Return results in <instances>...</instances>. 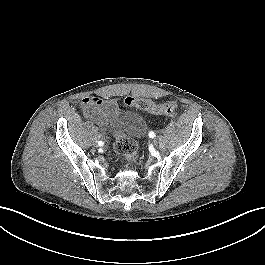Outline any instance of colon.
Returning <instances> with one entry per match:
<instances>
[{"label":"colon","mask_w":265,"mask_h":265,"mask_svg":"<svg viewBox=\"0 0 265 265\" xmlns=\"http://www.w3.org/2000/svg\"><path fill=\"white\" fill-rule=\"evenodd\" d=\"M125 105L138 108L154 114L171 115L178 107L176 101H168L165 103H155L148 99L128 97L125 99ZM115 151L126 161L134 163L138 159L137 143L125 136H115Z\"/></svg>","instance_id":"colon-1"}]
</instances>
